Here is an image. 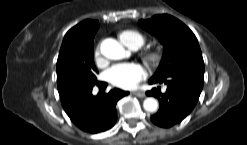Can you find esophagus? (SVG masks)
Here are the masks:
<instances>
[{"mask_svg":"<svg viewBox=\"0 0 247 145\" xmlns=\"http://www.w3.org/2000/svg\"><path fill=\"white\" fill-rule=\"evenodd\" d=\"M133 95L139 97V98H144L145 97V93L142 91H135L133 92Z\"/></svg>","mask_w":247,"mask_h":145,"instance_id":"esophagus-1","label":"esophagus"}]
</instances>
